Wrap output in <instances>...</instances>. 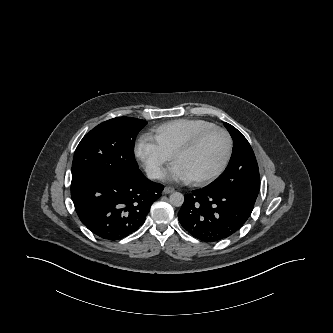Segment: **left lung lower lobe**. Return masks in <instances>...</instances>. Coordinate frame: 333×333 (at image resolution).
Wrapping results in <instances>:
<instances>
[{"instance_id": "0a47b994", "label": "left lung lower lobe", "mask_w": 333, "mask_h": 333, "mask_svg": "<svg viewBox=\"0 0 333 333\" xmlns=\"http://www.w3.org/2000/svg\"><path fill=\"white\" fill-rule=\"evenodd\" d=\"M178 213L182 227L204 242H218L237 232L255 202L224 187L208 185L186 194Z\"/></svg>"}]
</instances>
